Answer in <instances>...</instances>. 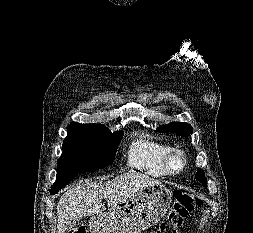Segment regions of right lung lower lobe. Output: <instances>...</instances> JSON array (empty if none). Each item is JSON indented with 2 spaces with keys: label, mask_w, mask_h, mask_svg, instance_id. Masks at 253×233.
<instances>
[{
  "label": "right lung lower lobe",
  "mask_w": 253,
  "mask_h": 233,
  "mask_svg": "<svg viewBox=\"0 0 253 233\" xmlns=\"http://www.w3.org/2000/svg\"><path fill=\"white\" fill-rule=\"evenodd\" d=\"M79 173L77 174H73L68 176L67 178H64L60 181H56L52 188H51V194H56L61 188H63L64 186H66L74 177H76Z\"/></svg>",
  "instance_id": "right-lung-lower-lobe-1"
}]
</instances>
